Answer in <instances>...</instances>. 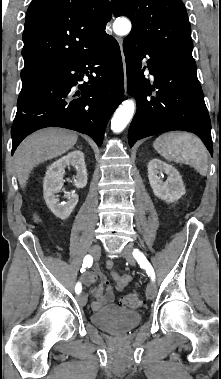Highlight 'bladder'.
Here are the masks:
<instances>
[{
	"mask_svg": "<svg viewBox=\"0 0 221 379\" xmlns=\"http://www.w3.org/2000/svg\"><path fill=\"white\" fill-rule=\"evenodd\" d=\"M91 321L106 332L122 334L140 323L141 314L137 311L109 306L93 312Z\"/></svg>",
	"mask_w": 221,
	"mask_h": 379,
	"instance_id": "bladder-1",
	"label": "bladder"
}]
</instances>
